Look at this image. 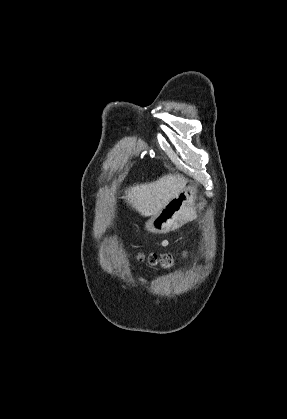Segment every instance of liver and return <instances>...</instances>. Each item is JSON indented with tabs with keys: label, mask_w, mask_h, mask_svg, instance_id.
<instances>
[{
	"label": "liver",
	"mask_w": 287,
	"mask_h": 419,
	"mask_svg": "<svg viewBox=\"0 0 287 419\" xmlns=\"http://www.w3.org/2000/svg\"><path fill=\"white\" fill-rule=\"evenodd\" d=\"M180 175H164L154 182L136 184L125 191L123 199L142 216H155L172 198L185 188Z\"/></svg>",
	"instance_id": "obj_1"
}]
</instances>
